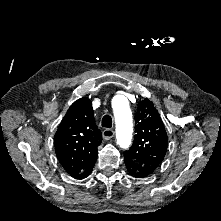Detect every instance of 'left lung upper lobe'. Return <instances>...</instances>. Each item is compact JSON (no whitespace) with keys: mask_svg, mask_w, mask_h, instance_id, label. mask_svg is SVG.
Masks as SVG:
<instances>
[{"mask_svg":"<svg viewBox=\"0 0 221 221\" xmlns=\"http://www.w3.org/2000/svg\"><path fill=\"white\" fill-rule=\"evenodd\" d=\"M135 123L133 145L124 155L152 173L162 163L168 145L165 126L152 101L145 98L138 103Z\"/></svg>","mask_w":221,"mask_h":221,"instance_id":"5c2ea615","label":"left lung upper lobe"}]
</instances>
